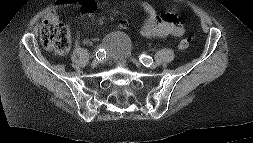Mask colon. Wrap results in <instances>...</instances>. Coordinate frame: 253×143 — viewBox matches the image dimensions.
Instances as JSON below:
<instances>
[{"mask_svg": "<svg viewBox=\"0 0 253 143\" xmlns=\"http://www.w3.org/2000/svg\"><path fill=\"white\" fill-rule=\"evenodd\" d=\"M40 41L44 48L58 54L65 53L71 43V35L68 27L59 21L47 20L41 29ZM191 45V39H183L179 47L186 50Z\"/></svg>", "mask_w": 253, "mask_h": 143, "instance_id": "1", "label": "colon"}]
</instances>
